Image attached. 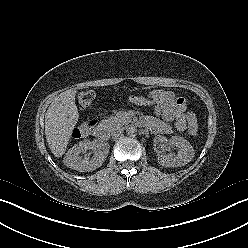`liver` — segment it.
Segmentation results:
<instances>
[{
	"instance_id": "1",
	"label": "liver",
	"mask_w": 248,
	"mask_h": 248,
	"mask_svg": "<svg viewBox=\"0 0 248 248\" xmlns=\"http://www.w3.org/2000/svg\"><path fill=\"white\" fill-rule=\"evenodd\" d=\"M75 95L76 91L71 89L61 93L46 111V140L51 152L58 158L65 153L72 130L79 118Z\"/></svg>"
}]
</instances>
